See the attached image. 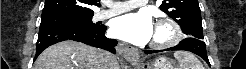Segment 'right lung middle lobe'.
Listing matches in <instances>:
<instances>
[{
	"label": "right lung middle lobe",
	"instance_id": "right-lung-middle-lobe-1",
	"mask_svg": "<svg viewBox=\"0 0 246 69\" xmlns=\"http://www.w3.org/2000/svg\"><path fill=\"white\" fill-rule=\"evenodd\" d=\"M93 14H60L45 16L41 18V24L43 25H71V26H82V27H96L97 25L92 22Z\"/></svg>",
	"mask_w": 246,
	"mask_h": 69
}]
</instances>
